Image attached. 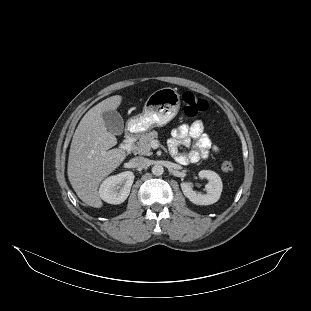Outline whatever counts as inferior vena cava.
<instances>
[{
	"label": "inferior vena cava",
	"instance_id": "inferior-vena-cava-1",
	"mask_svg": "<svg viewBox=\"0 0 311 311\" xmlns=\"http://www.w3.org/2000/svg\"><path fill=\"white\" fill-rule=\"evenodd\" d=\"M132 167L145 168L149 164V160L144 157H134L130 160Z\"/></svg>",
	"mask_w": 311,
	"mask_h": 311
}]
</instances>
